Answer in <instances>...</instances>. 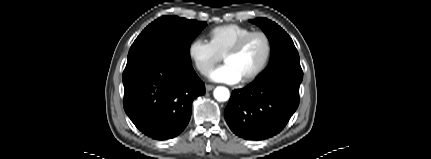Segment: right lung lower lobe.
Here are the masks:
<instances>
[{
  "label": "right lung lower lobe",
  "instance_id": "1",
  "mask_svg": "<svg viewBox=\"0 0 431 159\" xmlns=\"http://www.w3.org/2000/svg\"><path fill=\"white\" fill-rule=\"evenodd\" d=\"M122 80L126 114L156 140L179 135L189 123L193 100L205 93L191 65L157 52L127 62Z\"/></svg>",
  "mask_w": 431,
  "mask_h": 159
}]
</instances>
